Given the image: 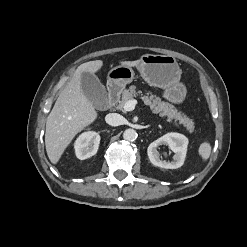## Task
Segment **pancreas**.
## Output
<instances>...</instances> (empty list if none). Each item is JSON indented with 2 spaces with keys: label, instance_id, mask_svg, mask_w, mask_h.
I'll return each instance as SVG.
<instances>
[{
  "label": "pancreas",
  "instance_id": "obj_1",
  "mask_svg": "<svg viewBox=\"0 0 247 247\" xmlns=\"http://www.w3.org/2000/svg\"><path fill=\"white\" fill-rule=\"evenodd\" d=\"M139 94L142 95V91H137V87L134 85L130 86L128 89H125L122 92V99L119 101L116 108L119 110H124V104L129 100H133V98L137 97ZM141 99L146 105H149L155 113H159L162 116H167L169 120H178L179 123L184 125L190 133L194 131L193 120L183 113L178 112L172 104L161 101L159 97H156L150 91H147L144 96H141Z\"/></svg>",
  "mask_w": 247,
  "mask_h": 247
}]
</instances>
